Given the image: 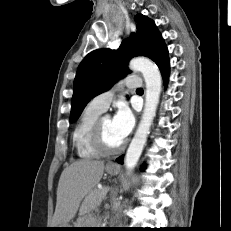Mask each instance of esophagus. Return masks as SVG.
Returning a JSON list of instances; mask_svg holds the SVG:
<instances>
[{"mask_svg": "<svg viewBox=\"0 0 231 231\" xmlns=\"http://www.w3.org/2000/svg\"><path fill=\"white\" fill-rule=\"evenodd\" d=\"M109 166H115L113 163H109Z\"/></svg>", "mask_w": 231, "mask_h": 231, "instance_id": "esophagus-1", "label": "esophagus"}]
</instances>
